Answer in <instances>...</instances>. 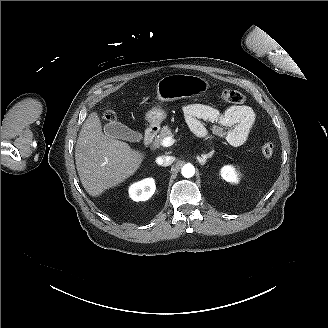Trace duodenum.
Masks as SVG:
<instances>
[{
  "label": "duodenum",
  "instance_id": "1",
  "mask_svg": "<svg viewBox=\"0 0 328 328\" xmlns=\"http://www.w3.org/2000/svg\"><path fill=\"white\" fill-rule=\"evenodd\" d=\"M156 128L155 127H149L147 128L145 134H144V145L145 146H149L152 141L154 140L155 136H156Z\"/></svg>",
  "mask_w": 328,
  "mask_h": 328
}]
</instances>
